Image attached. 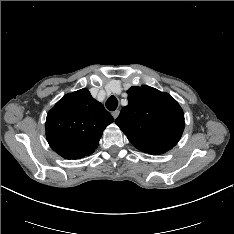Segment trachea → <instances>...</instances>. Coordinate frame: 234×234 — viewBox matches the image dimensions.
Returning a JSON list of instances; mask_svg holds the SVG:
<instances>
[{"label": "trachea", "mask_w": 234, "mask_h": 234, "mask_svg": "<svg viewBox=\"0 0 234 234\" xmlns=\"http://www.w3.org/2000/svg\"><path fill=\"white\" fill-rule=\"evenodd\" d=\"M118 106V100L115 96H110L106 101V107L110 111H114Z\"/></svg>", "instance_id": "trachea-1"}]
</instances>
